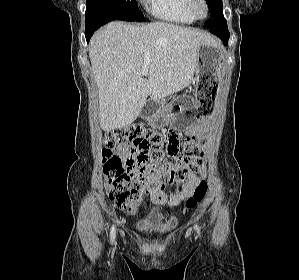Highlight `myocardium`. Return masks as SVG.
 I'll return each mask as SVG.
<instances>
[{"instance_id": "myocardium-1", "label": "myocardium", "mask_w": 299, "mask_h": 280, "mask_svg": "<svg viewBox=\"0 0 299 280\" xmlns=\"http://www.w3.org/2000/svg\"><path fill=\"white\" fill-rule=\"evenodd\" d=\"M200 8L202 13L199 11ZM189 10L196 20H204L209 15V6L206 0H189Z\"/></svg>"}]
</instances>
